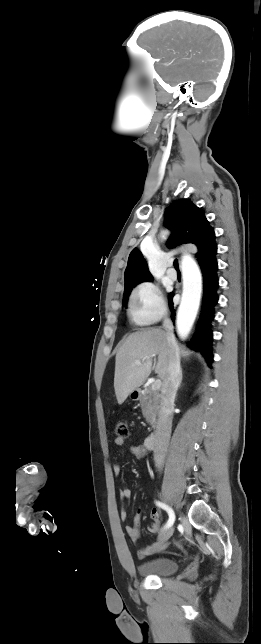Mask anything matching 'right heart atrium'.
<instances>
[{
  "instance_id": "d8ad5b80",
  "label": "right heart atrium",
  "mask_w": 261,
  "mask_h": 644,
  "mask_svg": "<svg viewBox=\"0 0 261 644\" xmlns=\"http://www.w3.org/2000/svg\"><path fill=\"white\" fill-rule=\"evenodd\" d=\"M131 314L134 321L148 325L166 314V304L160 288L152 282L139 284L131 295Z\"/></svg>"
}]
</instances>
